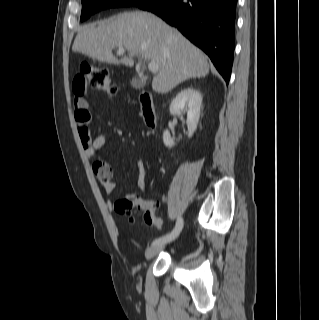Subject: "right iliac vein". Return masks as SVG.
I'll return each instance as SVG.
<instances>
[{
	"mask_svg": "<svg viewBox=\"0 0 319 320\" xmlns=\"http://www.w3.org/2000/svg\"><path fill=\"white\" fill-rule=\"evenodd\" d=\"M164 248V245H153L151 247H149L146 252H145V257L146 259H151L154 256H156L162 249Z\"/></svg>",
	"mask_w": 319,
	"mask_h": 320,
	"instance_id": "1",
	"label": "right iliac vein"
}]
</instances>
